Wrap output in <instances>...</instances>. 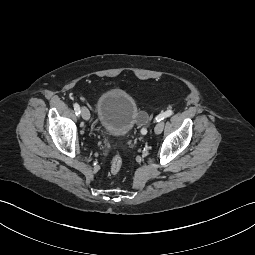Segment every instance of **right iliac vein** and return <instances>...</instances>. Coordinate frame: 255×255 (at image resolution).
<instances>
[{
    "mask_svg": "<svg viewBox=\"0 0 255 255\" xmlns=\"http://www.w3.org/2000/svg\"><path fill=\"white\" fill-rule=\"evenodd\" d=\"M81 116L84 120H89L90 118V112L86 107H81Z\"/></svg>",
    "mask_w": 255,
    "mask_h": 255,
    "instance_id": "right-iliac-vein-1",
    "label": "right iliac vein"
}]
</instances>
